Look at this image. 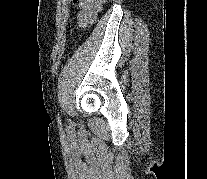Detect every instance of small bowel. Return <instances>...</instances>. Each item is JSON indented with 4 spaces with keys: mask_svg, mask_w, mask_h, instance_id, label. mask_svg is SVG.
Masks as SVG:
<instances>
[{
    "mask_svg": "<svg viewBox=\"0 0 207 179\" xmlns=\"http://www.w3.org/2000/svg\"><path fill=\"white\" fill-rule=\"evenodd\" d=\"M107 0H80L78 20L82 27L90 25Z\"/></svg>",
    "mask_w": 207,
    "mask_h": 179,
    "instance_id": "1",
    "label": "small bowel"
}]
</instances>
